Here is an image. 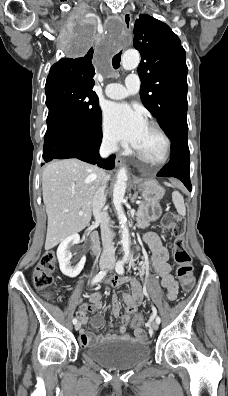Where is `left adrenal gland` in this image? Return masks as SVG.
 <instances>
[{
    "mask_svg": "<svg viewBox=\"0 0 228 396\" xmlns=\"http://www.w3.org/2000/svg\"><path fill=\"white\" fill-rule=\"evenodd\" d=\"M135 198H136V195H134V196L132 197V199H131V202H132V203L135 202Z\"/></svg>",
    "mask_w": 228,
    "mask_h": 396,
    "instance_id": "left-adrenal-gland-1",
    "label": "left adrenal gland"
}]
</instances>
